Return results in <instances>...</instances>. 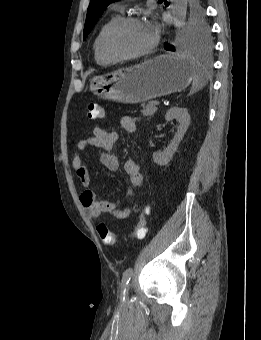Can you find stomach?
<instances>
[{"label": "stomach", "instance_id": "0dacf381", "mask_svg": "<svg viewBox=\"0 0 261 340\" xmlns=\"http://www.w3.org/2000/svg\"><path fill=\"white\" fill-rule=\"evenodd\" d=\"M195 66L189 59L164 54L131 67L122 68L90 81L97 96L126 104L142 103L185 89Z\"/></svg>", "mask_w": 261, "mask_h": 340}]
</instances>
